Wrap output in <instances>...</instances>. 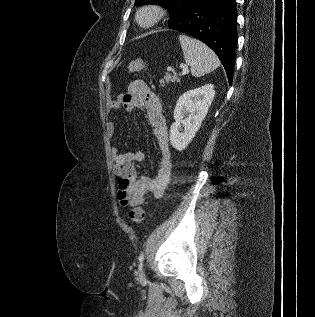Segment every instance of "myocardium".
<instances>
[{
    "mask_svg": "<svg viewBox=\"0 0 315 317\" xmlns=\"http://www.w3.org/2000/svg\"><path fill=\"white\" fill-rule=\"evenodd\" d=\"M166 15V9L156 3L145 4L136 12L135 20L142 28H150L159 23Z\"/></svg>",
    "mask_w": 315,
    "mask_h": 317,
    "instance_id": "f54148a6",
    "label": "myocardium"
}]
</instances>
